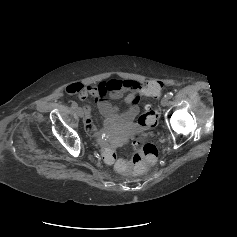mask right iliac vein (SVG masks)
<instances>
[{
  "mask_svg": "<svg viewBox=\"0 0 237 237\" xmlns=\"http://www.w3.org/2000/svg\"><path fill=\"white\" fill-rule=\"evenodd\" d=\"M76 113H77V115H78L79 117H83V116H84V111H83V109L80 108V107L76 109Z\"/></svg>",
  "mask_w": 237,
  "mask_h": 237,
  "instance_id": "right-iliac-vein-1",
  "label": "right iliac vein"
}]
</instances>
